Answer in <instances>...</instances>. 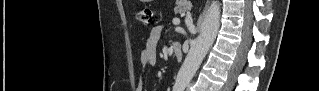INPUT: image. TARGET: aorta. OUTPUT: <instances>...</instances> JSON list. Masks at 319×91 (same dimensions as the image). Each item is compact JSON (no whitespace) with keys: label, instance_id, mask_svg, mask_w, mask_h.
Returning a JSON list of instances; mask_svg holds the SVG:
<instances>
[{"label":"aorta","instance_id":"762f6f07","mask_svg":"<svg viewBox=\"0 0 319 91\" xmlns=\"http://www.w3.org/2000/svg\"><path fill=\"white\" fill-rule=\"evenodd\" d=\"M220 13L219 1L212 0L204 16L200 34L192 42L190 50L177 74L173 87L174 91H184L213 45L220 27Z\"/></svg>","mask_w":319,"mask_h":91}]
</instances>
